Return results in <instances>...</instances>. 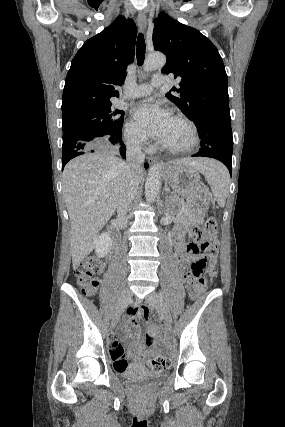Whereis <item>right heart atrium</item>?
<instances>
[{
	"label": "right heart atrium",
	"mask_w": 285,
	"mask_h": 427,
	"mask_svg": "<svg viewBox=\"0 0 285 427\" xmlns=\"http://www.w3.org/2000/svg\"><path fill=\"white\" fill-rule=\"evenodd\" d=\"M125 137L131 145L136 147L142 146L148 140L147 133L132 120L126 123Z\"/></svg>",
	"instance_id": "obj_1"
}]
</instances>
